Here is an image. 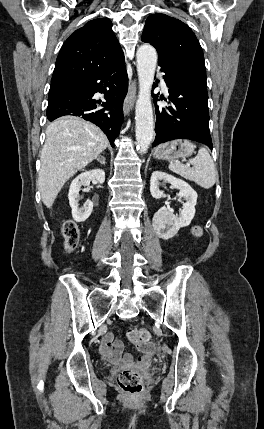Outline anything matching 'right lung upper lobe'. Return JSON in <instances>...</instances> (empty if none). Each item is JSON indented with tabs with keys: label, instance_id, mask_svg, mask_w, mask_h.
Wrapping results in <instances>:
<instances>
[{
	"label": "right lung upper lobe",
	"instance_id": "right-lung-upper-lobe-1",
	"mask_svg": "<svg viewBox=\"0 0 264 429\" xmlns=\"http://www.w3.org/2000/svg\"><path fill=\"white\" fill-rule=\"evenodd\" d=\"M108 19H94L72 33L63 44L51 87L77 84L124 56Z\"/></svg>",
	"mask_w": 264,
	"mask_h": 429
}]
</instances>
